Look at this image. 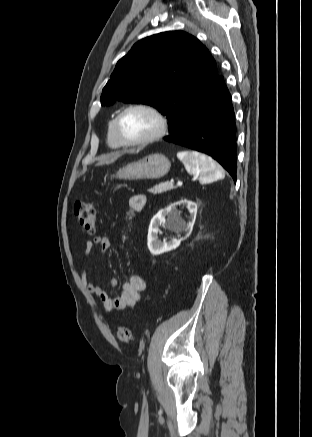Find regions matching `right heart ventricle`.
Listing matches in <instances>:
<instances>
[{
	"label": "right heart ventricle",
	"instance_id": "1",
	"mask_svg": "<svg viewBox=\"0 0 312 437\" xmlns=\"http://www.w3.org/2000/svg\"><path fill=\"white\" fill-rule=\"evenodd\" d=\"M114 122H115V118H112L109 121L108 130H107V143L111 148L118 149L124 147L125 145L120 141V139L116 134Z\"/></svg>",
	"mask_w": 312,
	"mask_h": 437
}]
</instances>
